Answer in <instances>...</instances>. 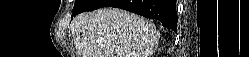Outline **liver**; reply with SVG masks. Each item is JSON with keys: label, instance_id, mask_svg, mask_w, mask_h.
<instances>
[{"label": "liver", "instance_id": "liver-1", "mask_svg": "<svg viewBox=\"0 0 249 57\" xmlns=\"http://www.w3.org/2000/svg\"><path fill=\"white\" fill-rule=\"evenodd\" d=\"M80 57H151L158 46L156 26L138 15L101 8L73 22Z\"/></svg>", "mask_w": 249, "mask_h": 57}]
</instances>
